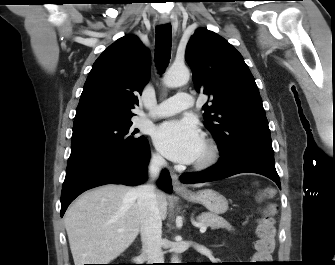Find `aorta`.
Listing matches in <instances>:
<instances>
[{"label":"aorta","mask_w":335,"mask_h":265,"mask_svg":"<svg viewBox=\"0 0 335 265\" xmlns=\"http://www.w3.org/2000/svg\"><path fill=\"white\" fill-rule=\"evenodd\" d=\"M190 73L186 66H172L164 76V83L169 88L179 87L189 81ZM172 263H180L177 255L172 257Z\"/></svg>","instance_id":"obj_1"}]
</instances>
